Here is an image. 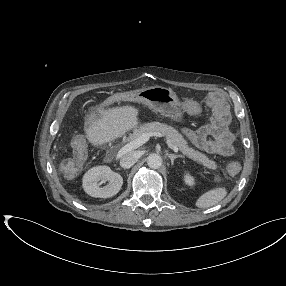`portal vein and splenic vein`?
Returning <instances> with one entry per match:
<instances>
[{
    "mask_svg": "<svg viewBox=\"0 0 286 286\" xmlns=\"http://www.w3.org/2000/svg\"><path fill=\"white\" fill-rule=\"evenodd\" d=\"M151 136H162L161 133H143L141 136L133 140L132 142L126 144L123 146L118 154L117 157H121L122 155L126 154L127 152L137 149L138 147L142 146L144 143H146ZM168 147L171 148L174 152H178V148L171 144V142L168 143Z\"/></svg>",
    "mask_w": 286,
    "mask_h": 286,
    "instance_id": "1",
    "label": "portal vein and splenic vein"
}]
</instances>
